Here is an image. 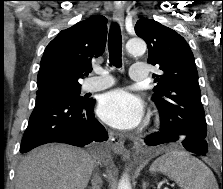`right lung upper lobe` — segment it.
<instances>
[{
	"label": "right lung upper lobe",
	"mask_w": 223,
	"mask_h": 189,
	"mask_svg": "<svg viewBox=\"0 0 223 189\" xmlns=\"http://www.w3.org/2000/svg\"><path fill=\"white\" fill-rule=\"evenodd\" d=\"M107 19L94 15L62 30L46 47L37 76L39 92L81 87L79 78L92 71L91 61L104 53Z\"/></svg>",
	"instance_id": "right-lung-upper-lobe-1"
}]
</instances>
